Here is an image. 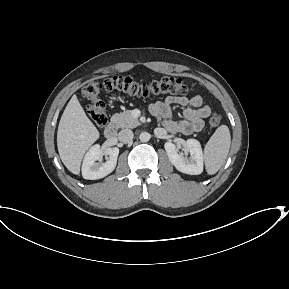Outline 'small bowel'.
Masks as SVG:
<instances>
[{"label": "small bowel", "mask_w": 289, "mask_h": 289, "mask_svg": "<svg viewBox=\"0 0 289 289\" xmlns=\"http://www.w3.org/2000/svg\"><path fill=\"white\" fill-rule=\"evenodd\" d=\"M173 105L184 108V119L173 118L171 110ZM150 112L162 121L169 132L188 135L202 130L204 120L210 114V107L204 105L202 97L198 94L192 97L168 96L162 101L152 103Z\"/></svg>", "instance_id": "1"}]
</instances>
